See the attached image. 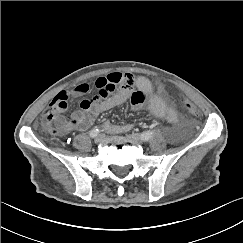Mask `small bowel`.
<instances>
[{
    "instance_id": "obj_1",
    "label": "small bowel",
    "mask_w": 243,
    "mask_h": 243,
    "mask_svg": "<svg viewBox=\"0 0 243 243\" xmlns=\"http://www.w3.org/2000/svg\"><path fill=\"white\" fill-rule=\"evenodd\" d=\"M134 79L133 75L129 73H111L96 78L93 83H79L69 91L71 96H85L93 88L96 89L97 93L92 98L83 99L80 102L79 110L75 111L68 121L60 115L67 108V103L56 104L57 116L55 124L57 128L63 134L73 129L87 130L101 114L124 104L128 99L131 100L132 107L137 109L143 103V100L136 91L131 94ZM157 88L160 91L158 86ZM168 109L170 111L169 121L175 122L177 119L175 111L171 108ZM103 128L109 132H125L131 130L132 125L113 126L106 122L103 124Z\"/></svg>"
}]
</instances>
